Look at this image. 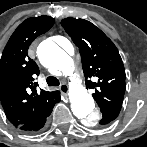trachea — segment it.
Returning <instances> with one entry per match:
<instances>
[{
  "mask_svg": "<svg viewBox=\"0 0 147 147\" xmlns=\"http://www.w3.org/2000/svg\"><path fill=\"white\" fill-rule=\"evenodd\" d=\"M46 82L48 86H59V80L53 76L47 77Z\"/></svg>",
  "mask_w": 147,
  "mask_h": 147,
  "instance_id": "1",
  "label": "trachea"
}]
</instances>
